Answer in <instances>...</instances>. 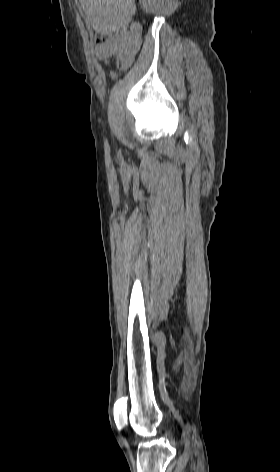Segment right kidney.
I'll return each instance as SVG.
<instances>
[{
    "label": "right kidney",
    "instance_id": "1",
    "mask_svg": "<svg viewBox=\"0 0 280 472\" xmlns=\"http://www.w3.org/2000/svg\"><path fill=\"white\" fill-rule=\"evenodd\" d=\"M140 2L143 10L149 12L156 7L157 0H140Z\"/></svg>",
    "mask_w": 280,
    "mask_h": 472
}]
</instances>
